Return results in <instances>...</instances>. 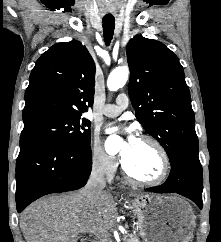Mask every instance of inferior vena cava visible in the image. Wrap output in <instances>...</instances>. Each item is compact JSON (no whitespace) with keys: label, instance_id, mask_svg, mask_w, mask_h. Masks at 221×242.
Wrapping results in <instances>:
<instances>
[{"label":"inferior vena cava","instance_id":"inferior-vena-cava-1","mask_svg":"<svg viewBox=\"0 0 221 242\" xmlns=\"http://www.w3.org/2000/svg\"><path fill=\"white\" fill-rule=\"evenodd\" d=\"M105 187L104 168L100 165H94L89 180L83 189L84 195L89 200L95 199L103 193Z\"/></svg>","mask_w":221,"mask_h":242}]
</instances>
